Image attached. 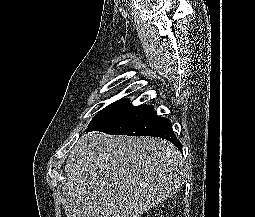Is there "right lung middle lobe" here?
Instances as JSON below:
<instances>
[{
    "instance_id": "1",
    "label": "right lung middle lobe",
    "mask_w": 255,
    "mask_h": 217,
    "mask_svg": "<svg viewBox=\"0 0 255 217\" xmlns=\"http://www.w3.org/2000/svg\"><path fill=\"white\" fill-rule=\"evenodd\" d=\"M129 103V100L128 99H122V100H119L109 106H107L106 108H104L102 111H100L91 121V123L97 121L98 119L102 118L103 116L111 113L112 111L114 110H117L123 106H125L126 104ZM90 123V124H91Z\"/></svg>"
}]
</instances>
